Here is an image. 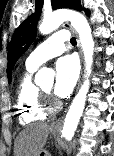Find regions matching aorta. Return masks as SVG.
I'll use <instances>...</instances> for the list:
<instances>
[{"label": "aorta", "instance_id": "762f6f07", "mask_svg": "<svg viewBox=\"0 0 114 156\" xmlns=\"http://www.w3.org/2000/svg\"><path fill=\"white\" fill-rule=\"evenodd\" d=\"M64 21H70L71 25L78 32L85 60V81L69 108L62 130L65 139L71 140L83 113L90 86L88 77L91 74L93 62L94 40L87 19L81 13L68 9L58 10L45 16L39 26V31L44 35L49 34L57 29ZM46 78L53 79V72L49 69L43 68L38 72L36 82H41Z\"/></svg>", "mask_w": 114, "mask_h": 156}]
</instances>
